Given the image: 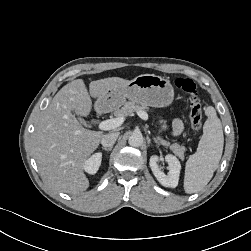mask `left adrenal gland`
Here are the masks:
<instances>
[{
  "label": "left adrenal gland",
  "mask_w": 251,
  "mask_h": 251,
  "mask_svg": "<svg viewBox=\"0 0 251 251\" xmlns=\"http://www.w3.org/2000/svg\"><path fill=\"white\" fill-rule=\"evenodd\" d=\"M152 140H153L157 145H159V142L157 141L156 138H152ZM148 141H150V139H149Z\"/></svg>",
  "instance_id": "obj_1"
}]
</instances>
